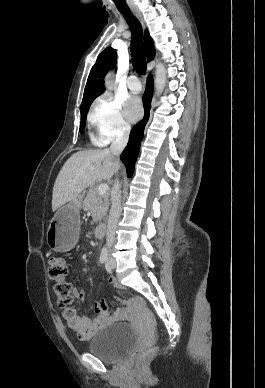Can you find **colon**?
Returning a JSON list of instances; mask_svg holds the SVG:
<instances>
[{"label":"colon","mask_w":265,"mask_h":388,"mask_svg":"<svg viewBox=\"0 0 265 388\" xmlns=\"http://www.w3.org/2000/svg\"><path fill=\"white\" fill-rule=\"evenodd\" d=\"M67 266L64 259L53 257L49 261L48 277L54 282L53 290L58 298L60 307H69L74 298V287L66 281ZM144 354V349L136 348L132 351L131 358L137 359Z\"/></svg>","instance_id":"5ec220e1"}]
</instances>
